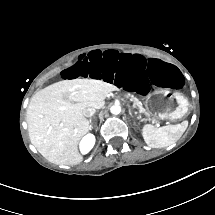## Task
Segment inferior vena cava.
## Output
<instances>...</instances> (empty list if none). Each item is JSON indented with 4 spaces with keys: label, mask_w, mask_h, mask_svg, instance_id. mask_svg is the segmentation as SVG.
Returning a JSON list of instances; mask_svg holds the SVG:
<instances>
[{
    "label": "inferior vena cava",
    "mask_w": 215,
    "mask_h": 215,
    "mask_svg": "<svg viewBox=\"0 0 215 215\" xmlns=\"http://www.w3.org/2000/svg\"><path fill=\"white\" fill-rule=\"evenodd\" d=\"M96 109L93 107H87L83 109V116L86 118L92 117L95 114Z\"/></svg>",
    "instance_id": "inferior-vena-cava-1"
}]
</instances>
